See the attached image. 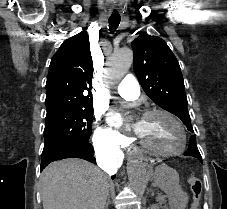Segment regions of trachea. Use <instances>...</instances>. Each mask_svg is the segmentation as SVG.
Masks as SVG:
<instances>
[{
  "mask_svg": "<svg viewBox=\"0 0 227 209\" xmlns=\"http://www.w3.org/2000/svg\"><path fill=\"white\" fill-rule=\"evenodd\" d=\"M121 17L119 13L114 12L112 15L109 17V30L110 33H114L116 29L118 28V25L120 23Z\"/></svg>",
  "mask_w": 227,
  "mask_h": 209,
  "instance_id": "3493384b",
  "label": "trachea"
}]
</instances>
